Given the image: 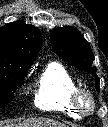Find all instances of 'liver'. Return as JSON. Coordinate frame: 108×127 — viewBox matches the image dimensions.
Segmentation results:
<instances>
[{
    "instance_id": "liver-1",
    "label": "liver",
    "mask_w": 108,
    "mask_h": 127,
    "mask_svg": "<svg viewBox=\"0 0 108 127\" xmlns=\"http://www.w3.org/2000/svg\"><path fill=\"white\" fill-rule=\"evenodd\" d=\"M6 127H66L64 124L49 118H29L19 124H10Z\"/></svg>"
}]
</instances>
